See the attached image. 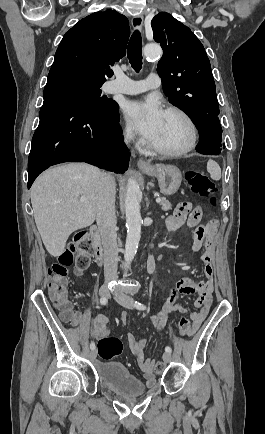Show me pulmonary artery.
Segmentation results:
<instances>
[{"label": "pulmonary artery", "instance_id": "1", "mask_svg": "<svg viewBox=\"0 0 265 434\" xmlns=\"http://www.w3.org/2000/svg\"><path fill=\"white\" fill-rule=\"evenodd\" d=\"M116 80L122 81H115L113 85L108 87L107 92L109 94L122 93L134 95L146 90H152L153 86L159 84V77L155 73L146 75L144 81H133L123 73H116Z\"/></svg>", "mask_w": 265, "mask_h": 434}]
</instances>
